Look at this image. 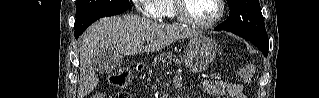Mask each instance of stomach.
Segmentation results:
<instances>
[{
	"label": "stomach",
	"mask_w": 319,
	"mask_h": 98,
	"mask_svg": "<svg viewBox=\"0 0 319 98\" xmlns=\"http://www.w3.org/2000/svg\"><path fill=\"white\" fill-rule=\"evenodd\" d=\"M216 53V42L200 34L191 38L184 53V61L193 72H202L214 59Z\"/></svg>",
	"instance_id": "1"
}]
</instances>
